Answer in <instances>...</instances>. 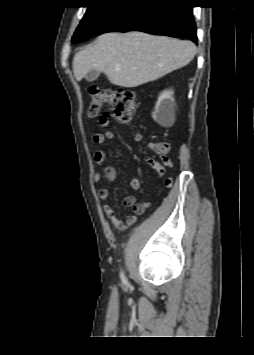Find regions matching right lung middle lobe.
<instances>
[{
  "label": "right lung middle lobe",
  "mask_w": 254,
  "mask_h": 355,
  "mask_svg": "<svg viewBox=\"0 0 254 355\" xmlns=\"http://www.w3.org/2000/svg\"><path fill=\"white\" fill-rule=\"evenodd\" d=\"M121 4L122 3L112 0L94 2L87 8V11L77 27L72 40H87L92 37L110 16V14Z\"/></svg>",
  "instance_id": "obj_1"
}]
</instances>
